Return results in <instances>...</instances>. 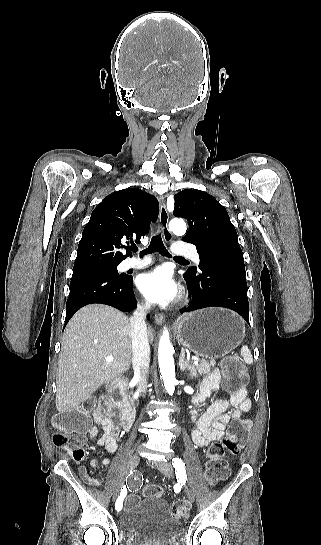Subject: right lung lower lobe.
I'll use <instances>...</instances> for the list:
<instances>
[{
  "mask_svg": "<svg viewBox=\"0 0 321 545\" xmlns=\"http://www.w3.org/2000/svg\"><path fill=\"white\" fill-rule=\"evenodd\" d=\"M132 285V277L126 274L115 276L89 268L73 270L66 304V324L81 307L88 304H106L125 312L134 310L137 302Z\"/></svg>",
  "mask_w": 321,
  "mask_h": 545,
  "instance_id": "right-lung-lower-lobe-1",
  "label": "right lung lower lobe"
}]
</instances>
